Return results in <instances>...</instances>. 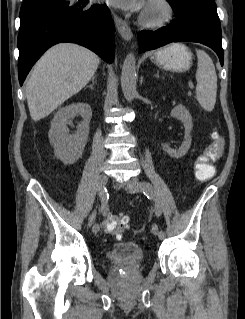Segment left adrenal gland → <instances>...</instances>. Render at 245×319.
Segmentation results:
<instances>
[{
	"instance_id": "1",
	"label": "left adrenal gland",
	"mask_w": 245,
	"mask_h": 319,
	"mask_svg": "<svg viewBox=\"0 0 245 319\" xmlns=\"http://www.w3.org/2000/svg\"><path fill=\"white\" fill-rule=\"evenodd\" d=\"M154 77L160 78L159 71L154 75Z\"/></svg>"
}]
</instances>
